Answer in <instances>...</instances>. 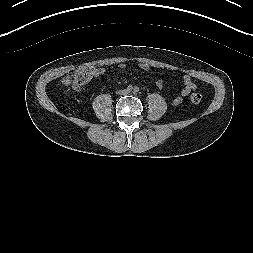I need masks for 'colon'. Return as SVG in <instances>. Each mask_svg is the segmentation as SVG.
<instances>
[{"label": "colon", "instance_id": "1", "mask_svg": "<svg viewBox=\"0 0 253 253\" xmlns=\"http://www.w3.org/2000/svg\"><path fill=\"white\" fill-rule=\"evenodd\" d=\"M93 71V68L83 67L79 69L72 78V85L74 89L79 88L85 84V81L90 77L91 73ZM77 90V89H76ZM202 99V95L198 91H193L190 95V100L193 103H199Z\"/></svg>", "mask_w": 253, "mask_h": 253}]
</instances>
